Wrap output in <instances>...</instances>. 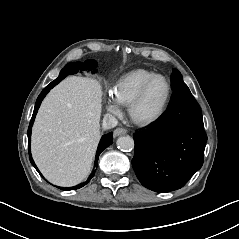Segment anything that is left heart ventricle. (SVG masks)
Segmentation results:
<instances>
[{
	"instance_id": "obj_1",
	"label": "left heart ventricle",
	"mask_w": 239,
	"mask_h": 239,
	"mask_svg": "<svg viewBox=\"0 0 239 239\" xmlns=\"http://www.w3.org/2000/svg\"><path fill=\"white\" fill-rule=\"evenodd\" d=\"M167 92L168 87L164 79L154 81L137 108L138 115L144 118L156 115L166 100Z\"/></svg>"
}]
</instances>
